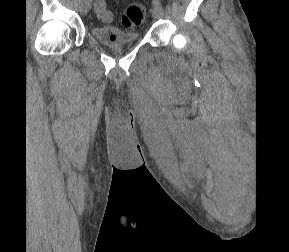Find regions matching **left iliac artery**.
Wrapping results in <instances>:
<instances>
[{"instance_id":"44dca946","label":"left iliac artery","mask_w":289,"mask_h":252,"mask_svg":"<svg viewBox=\"0 0 289 252\" xmlns=\"http://www.w3.org/2000/svg\"><path fill=\"white\" fill-rule=\"evenodd\" d=\"M152 3H153L154 6H160L161 7L160 0H153Z\"/></svg>"}]
</instances>
